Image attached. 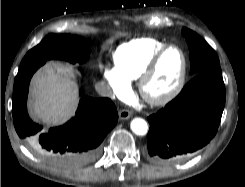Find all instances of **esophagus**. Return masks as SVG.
I'll return each instance as SVG.
<instances>
[{
	"mask_svg": "<svg viewBox=\"0 0 245 187\" xmlns=\"http://www.w3.org/2000/svg\"><path fill=\"white\" fill-rule=\"evenodd\" d=\"M132 116V112L128 109H122L119 111V118L121 120H127Z\"/></svg>",
	"mask_w": 245,
	"mask_h": 187,
	"instance_id": "obj_1",
	"label": "esophagus"
}]
</instances>
